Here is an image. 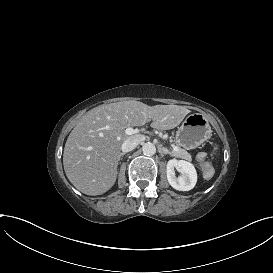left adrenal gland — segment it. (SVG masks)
Wrapping results in <instances>:
<instances>
[{
  "label": "left adrenal gland",
  "instance_id": "obj_1",
  "mask_svg": "<svg viewBox=\"0 0 273 273\" xmlns=\"http://www.w3.org/2000/svg\"><path fill=\"white\" fill-rule=\"evenodd\" d=\"M161 154H164V155H166V154H169V155H171V152H169L166 148H164V147H162L161 148Z\"/></svg>",
  "mask_w": 273,
  "mask_h": 273
}]
</instances>
